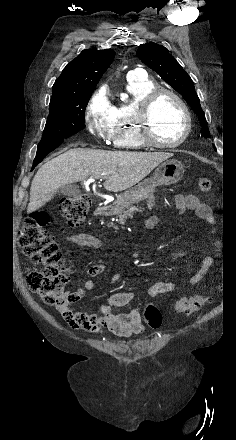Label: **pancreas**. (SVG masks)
Instances as JSON below:
<instances>
[{
    "label": "pancreas",
    "mask_w": 236,
    "mask_h": 440,
    "mask_svg": "<svg viewBox=\"0 0 236 440\" xmlns=\"http://www.w3.org/2000/svg\"><path fill=\"white\" fill-rule=\"evenodd\" d=\"M155 197L154 196H150L147 200V205L149 207V209H151L154 205H155ZM142 212L141 209H139L138 207H129L126 211H121L118 213V221L119 223H125L126 219L129 217H133L134 214L136 212Z\"/></svg>",
    "instance_id": "1"
}]
</instances>
